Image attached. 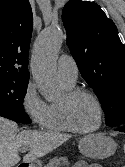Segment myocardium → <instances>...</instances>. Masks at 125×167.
<instances>
[{
  "label": "myocardium",
  "mask_w": 125,
  "mask_h": 167,
  "mask_svg": "<svg viewBox=\"0 0 125 167\" xmlns=\"http://www.w3.org/2000/svg\"><path fill=\"white\" fill-rule=\"evenodd\" d=\"M82 95L90 97L95 102L98 112H99L98 124L95 127L90 128V129L79 128L75 124L73 120V116H72L73 102ZM59 106H60V110H61L65 123L70 128V130L73 132H76L79 134H91V133L98 131L103 124L104 112H103L102 103L100 99L98 98V96L88 89L75 87L73 89L67 90L63 97V100L59 102Z\"/></svg>",
  "instance_id": "obj_1"
}]
</instances>
